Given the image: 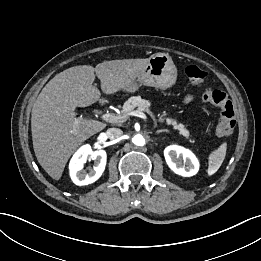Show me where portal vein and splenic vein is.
Masks as SVG:
<instances>
[{
    "label": "portal vein and splenic vein",
    "mask_w": 261,
    "mask_h": 261,
    "mask_svg": "<svg viewBox=\"0 0 261 261\" xmlns=\"http://www.w3.org/2000/svg\"><path fill=\"white\" fill-rule=\"evenodd\" d=\"M128 115H132V116H137L140 117L144 120L147 119L146 114H144L141 111H132L130 113H128L127 115H123V116H119V115H115V114H111V113H105L101 115V118L109 123H122L126 120Z\"/></svg>",
    "instance_id": "obj_1"
}]
</instances>
